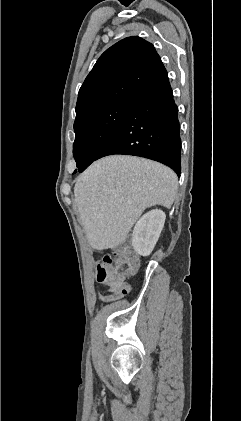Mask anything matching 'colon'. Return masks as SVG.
<instances>
[{
  "label": "colon",
  "mask_w": 241,
  "mask_h": 421,
  "mask_svg": "<svg viewBox=\"0 0 241 421\" xmlns=\"http://www.w3.org/2000/svg\"><path fill=\"white\" fill-rule=\"evenodd\" d=\"M138 266V257L126 247H119L103 257L97 268V279L113 287L126 290V279L133 275Z\"/></svg>",
  "instance_id": "obj_1"
}]
</instances>
